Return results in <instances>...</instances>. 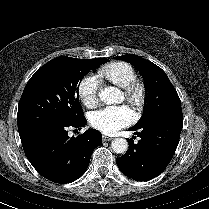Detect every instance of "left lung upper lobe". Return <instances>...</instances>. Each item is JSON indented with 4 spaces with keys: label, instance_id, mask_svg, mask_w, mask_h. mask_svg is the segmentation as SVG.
<instances>
[{
    "label": "left lung upper lobe",
    "instance_id": "5c2ea615",
    "mask_svg": "<svg viewBox=\"0 0 209 209\" xmlns=\"http://www.w3.org/2000/svg\"><path fill=\"white\" fill-rule=\"evenodd\" d=\"M131 63L143 75L148 102L141 119L133 127L143 126L159 119H183L179 96L166 73L154 63L134 54L114 57Z\"/></svg>",
    "mask_w": 209,
    "mask_h": 209
}]
</instances>
